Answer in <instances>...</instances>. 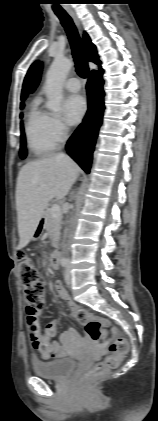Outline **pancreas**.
Instances as JSON below:
<instances>
[{"label": "pancreas", "mask_w": 158, "mask_h": 421, "mask_svg": "<svg viewBox=\"0 0 158 421\" xmlns=\"http://www.w3.org/2000/svg\"><path fill=\"white\" fill-rule=\"evenodd\" d=\"M45 225L44 229L52 236V246L57 247L60 238V228L62 223V216L53 217L51 214V207H48L44 213Z\"/></svg>", "instance_id": "pancreas-1"}]
</instances>
